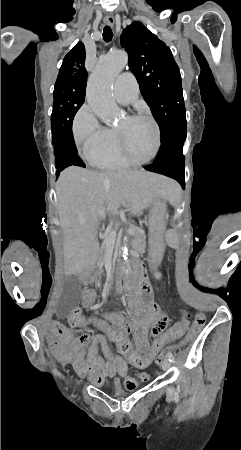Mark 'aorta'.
<instances>
[{
	"label": "aorta",
	"instance_id": "1",
	"mask_svg": "<svg viewBox=\"0 0 241 450\" xmlns=\"http://www.w3.org/2000/svg\"><path fill=\"white\" fill-rule=\"evenodd\" d=\"M128 57L124 51L110 52L101 57L89 77L86 98L92 111L105 123H113L120 115L111 86L118 74L124 69ZM128 250L124 247V264L128 266Z\"/></svg>",
	"mask_w": 241,
	"mask_h": 450
}]
</instances>
